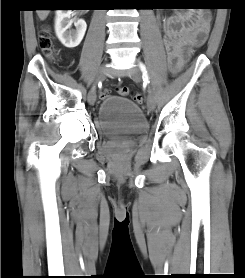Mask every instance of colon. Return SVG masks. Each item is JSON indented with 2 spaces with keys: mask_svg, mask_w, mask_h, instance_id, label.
Segmentation results:
<instances>
[{
  "mask_svg": "<svg viewBox=\"0 0 245 278\" xmlns=\"http://www.w3.org/2000/svg\"><path fill=\"white\" fill-rule=\"evenodd\" d=\"M203 3H197L191 6L192 9H200L203 11H208L210 8H212V5L209 3V0H204ZM204 27H208L207 22L204 23ZM39 44L47 57L48 60L53 61L57 56V48L55 45V41L51 34L47 30H42L39 34ZM170 71L174 73L176 70L173 68H170ZM117 92L120 96H128L130 94V89L128 87H119L117 88ZM102 96H109L110 91L104 90L101 93ZM133 100L137 104H141L143 102V97L140 94H134Z\"/></svg>",
  "mask_w": 245,
  "mask_h": 278,
  "instance_id": "obj_1",
  "label": "colon"
}]
</instances>
